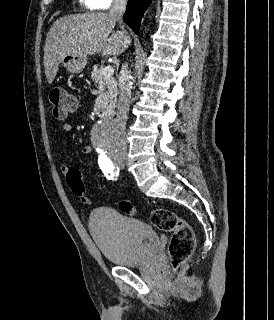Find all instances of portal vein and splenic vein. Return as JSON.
<instances>
[{
	"mask_svg": "<svg viewBox=\"0 0 274 320\" xmlns=\"http://www.w3.org/2000/svg\"><path fill=\"white\" fill-rule=\"evenodd\" d=\"M102 76H105V78H111L114 74V68H111V66H106L104 70L101 72Z\"/></svg>",
	"mask_w": 274,
	"mask_h": 320,
	"instance_id": "1",
	"label": "portal vein and splenic vein"
}]
</instances>
